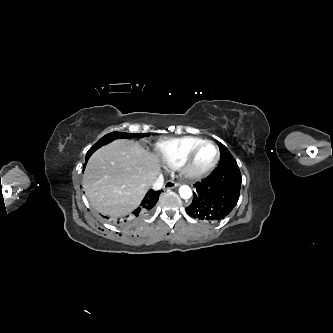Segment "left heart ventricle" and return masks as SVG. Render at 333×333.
I'll use <instances>...</instances> for the list:
<instances>
[{
  "label": "left heart ventricle",
  "instance_id": "1",
  "mask_svg": "<svg viewBox=\"0 0 333 333\" xmlns=\"http://www.w3.org/2000/svg\"><path fill=\"white\" fill-rule=\"evenodd\" d=\"M216 157V149L211 145L204 146L194 160L195 168H203L213 162Z\"/></svg>",
  "mask_w": 333,
  "mask_h": 333
}]
</instances>
